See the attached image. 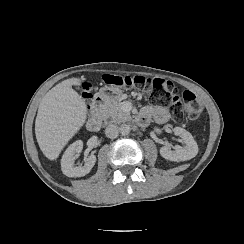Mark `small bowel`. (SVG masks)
I'll return each instance as SVG.
<instances>
[{
    "label": "small bowel",
    "instance_id": "small-bowel-1",
    "mask_svg": "<svg viewBox=\"0 0 244 244\" xmlns=\"http://www.w3.org/2000/svg\"><path fill=\"white\" fill-rule=\"evenodd\" d=\"M140 116L142 119H144V123L149 121L150 119H153L158 124H164L171 119V114L167 109L151 105L145 106L141 110Z\"/></svg>",
    "mask_w": 244,
    "mask_h": 244
}]
</instances>
